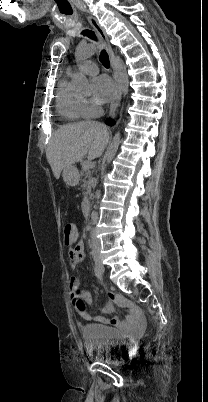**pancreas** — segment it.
<instances>
[{
  "label": "pancreas",
  "instance_id": "1",
  "mask_svg": "<svg viewBox=\"0 0 208 402\" xmlns=\"http://www.w3.org/2000/svg\"><path fill=\"white\" fill-rule=\"evenodd\" d=\"M79 176L81 178V186L84 190V192H83L84 198H88V196H92V194H91L92 178H91V174H90L89 170H81Z\"/></svg>",
  "mask_w": 208,
  "mask_h": 402
}]
</instances>
